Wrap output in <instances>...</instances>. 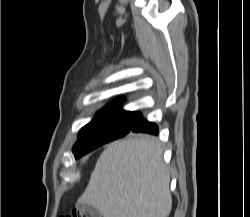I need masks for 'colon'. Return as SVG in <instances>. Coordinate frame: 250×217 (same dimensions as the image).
<instances>
[{"label":"colon","mask_w":250,"mask_h":217,"mask_svg":"<svg viewBox=\"0 0 250 217\" xmlns=\"http://www.w3.org/2000/svg\"><path fill=\"white\" fill-rule=\"evenodd\" d=\"M65 217H89V216L83 212L72 210Z\"/></svg>","instance_id":"colon-1"}]
</instances>
